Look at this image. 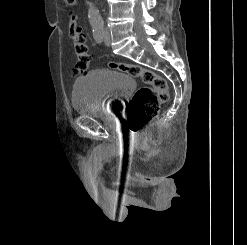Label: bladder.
Returning a JSON list of instances; mask_svg holds the SVG:
<instances>
[{"label":"bladder","mask_w":247,"mask_h":245,"mask_svg":"<svg viewBox=\"0 0 247 245\" xmlns=\"http://www.w3.org/2000/svg\"><path fill=\"white\" fill-rule=\"evenodd\" d=\"M135 85L133 77L126 73L111 69L92 70L74 82L72 106L83 116L101 117L114 113Z\"/></svg>","instance_id":"31cf9c89"}]
</instances>
